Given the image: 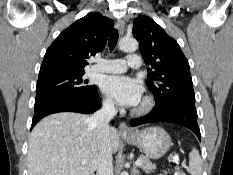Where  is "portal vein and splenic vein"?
I'll return each instance as SVG.
<instances>
[{
	"label": "portal vein and splenic vein",
	"mask_w": 233,
	"mask_h": 175,
	"mask_svg": "<svg viewBox=\"0 0 233 175\" xmlns=\"http://www.w3.org/2000/svg\"><path fill=\"white\" fill-rule=\"evenodd\" d=\"M86 162H87V160H85V159L82 160V163L85 164ZM142 163H143L142 159L139 158V159L136 160L135 165L139 166V165H141Z\"/></svg>",
	"instance_id": "portal-vein-and-splenic-vein-1"
}]
</instances>
